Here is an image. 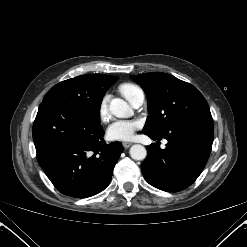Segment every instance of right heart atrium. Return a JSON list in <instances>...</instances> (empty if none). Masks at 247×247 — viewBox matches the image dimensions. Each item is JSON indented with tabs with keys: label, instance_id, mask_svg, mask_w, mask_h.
<instances>
[{
	"label": "right heart atrium",
	"instance_id": "d8ad5b80",
	"mask_svg": "<svg viewBox=\"0 0 247 247\" xmlns=\"http://www.w3.org/2000/svg\"><path fill=\"white\" fill-rule=\"evenodd\" d=\"M108 101H109V97L106 95L102 98L99 104V117L103 122H107L110 117L109 109H108Z\"/></svg>",
	"mask_w": 247,
	"mask_h": 247
}]
</instances>
